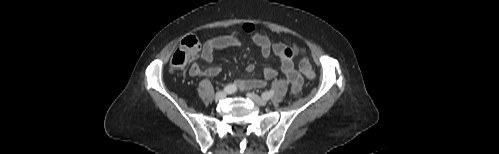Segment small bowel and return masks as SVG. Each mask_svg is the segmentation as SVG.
Masks as SVG:
<instances>
[{
    "instance_id": "c3829d8e",
    "label": "small bowel",
    "mask_w": 499,
    "mask_h": 154,
    "mask_svg": "<svg viewBox=\"0 0 499 154\" xmlns=\"http://www.w3.org/2000/svg\"><path fill=\"white\" fill-rule=\"evenodd\" d=\"M254 26L250 24L243 25L241 29L233 34L219 36L208 40L202 49L201 58L204 62L203 65L192 63L189 68V73L193 77L208 76L213 77L220 73L221 68L212 66L214 53L225 47L238 46L245 43L243 35H249L251 41L260 49L263 57L268 58L272 54L277 56L281 62L280 72L287 79L291 85L293 93H298L303 85V78L296 70L294 65V58L304 52L303 48L287 46L283 43L273 42L267 36L255 32ZM254 70L253 64H248L246 67L247 72ZM278 75V71L270 66L263 69V76L260 79H244L236 81L235 85L239 90L262 88L270 80Z\"/></svg>"
}]
</instances>
